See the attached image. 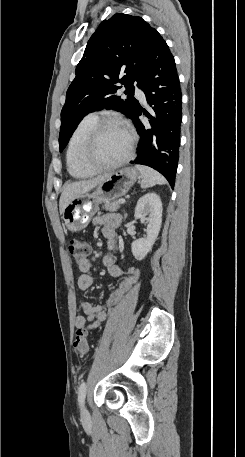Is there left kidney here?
Wrapping results in <instances>:
<instances>
[{
	"label": "left kidney",
	"instance_id": "1",
	"mask_svg": "<svg viewBox=\"0 0 245 457\" xmlns=\"http://www.w3.org/2000/svg\"><path fill=\"white\" fill-rule=\"evenodd\" d=\"M162 202L160 196L156 192H147L144 196H140L134 216L139 218L141 222H148L147 237L145 239H137L131 245L132 253L137 261L145 259L150 253L161 229L162 222Z\"/></svg>",
	"mask_w": 245,
	"mask_h": 457
}]
</instances>
